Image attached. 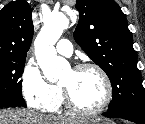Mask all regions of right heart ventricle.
Returning <instances> with one entry per match:
<instances>
[{"mask_svg": "<svg viewBox=\"0 0 145 124\" xmlns=\"http://www.w3.org/2000/svg\"><path fill=\"white\" fill-rule=\"evenodd\" d=\"M57 93H58V98H57L56 104L52 108H50L46 111H49L51 113H60L62 111L63 97H62L61 90L58 87H57Z\"/></svg>", "mask_w": 145, "mask_h": 124, "instance_id": "e07e8e85", "label": "right heart ventricle"}]
</instances>
